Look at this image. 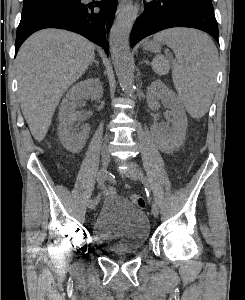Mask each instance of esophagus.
Segmentation results:
<instances>
[{"mask_svg": "<svg viewBox=\"0 0 245 300\" xmlns=\"http://www.w3.org/2000/svg\"><path fill=\"white\" fill-rule=\"evenodd\" d=\"M130 3V0H121V2L118 5L117 8V14L120 13L125 7L128 6V4Z\"/></svg>", "mask_w": 245, "mask_h": 300, "instance_id": "34e87169", "label": "esophagus"}]
</instances>
